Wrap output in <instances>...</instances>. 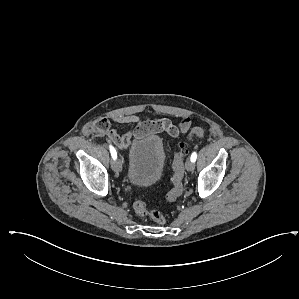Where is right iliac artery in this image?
<instances>
[{
    "mask_svg": "<svg viewBox=\"0 0 299 299\" xmlns=\"http://www.w3.org/2000/svg\"><path fill=\"white\" fill-rule=\"evenodd\" d=\"M109 150H110L113 160H115L117 158V152H116L115 148L112 145H109Z\"/></svg>",
    "mask_w": 299,
    "mask_h": 299,
    "instance_id": "right-iliac-artery-1",
    "label": "right iliac artery"
}]
</instances>
